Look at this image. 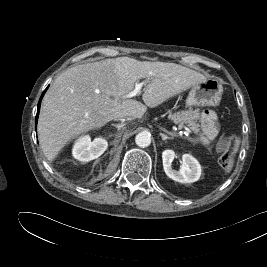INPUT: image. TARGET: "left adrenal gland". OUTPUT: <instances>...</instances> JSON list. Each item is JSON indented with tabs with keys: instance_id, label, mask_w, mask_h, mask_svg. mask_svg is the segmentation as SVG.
<instances>
[{
	"instance_id": "left-adrenal-gland-1",
	"label": "left adrenal gland",
	"mask_w": 267,
	"mask_h": 267,
	"mask_svg": "<svg viewBox=\"0 0 267 267\" xmlns=\"http://www.w3.org/2000/svg\"><path fill=\"white\" fill-rule=\"evenodd\" d=\"M162 131H164L166 134H168L169 136L160 133V136L162 137V140H167V139H174V137H177L178 135L172 132L167 131L165 128H161ZM190 140V139H189ZM192 142H195V140H191Z\"/></svg>"
}]
</instances>
